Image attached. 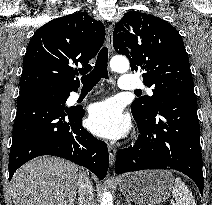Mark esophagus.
Segmentation results:
<instances>
[{"instance_id":"esophagus-1","label":"esophagus","mask_w":212,"mask_h":205,"mask_svg":"<svg viewBox=\"0 0 212 205\" xmlns=\"http://www.w3.org/2000/svg\"><path fill=\"white\" fill-rule=\"evenodd\" d=\"M106 44H107L108 50L110 52H112L113 51V26H112V24L108 25V27L106 29ZM108 152H109L110 165L112 166L115 161L116 148L113 145L108 144Z\"/></svg>"}]
</instances>
